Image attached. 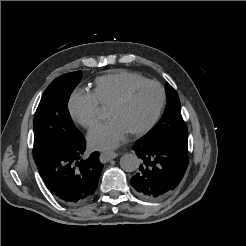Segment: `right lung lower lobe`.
I'll list each match as a JSON object with an SVG mask.
<instances>
[{
  "mask_svg": "<svg viewBox=\"0 0 246 246\" xmlns=\"http://www.w3.org/2000/svg\"><path fill=\"white\" fill-rule=\"evenodd\" d=\"M85 149L86 139L80 133L72 142L54 146L34 158L47 188L62 203L80 204L97 188L103 165L97 151L82 159Z\"/></svg>",
  "mask_w": 246,
  "mask_h": 246,
  "instance_id": "right-lung-lower-lobe-1",
  "label": "right lung lower lobe"
}]
</instances>
